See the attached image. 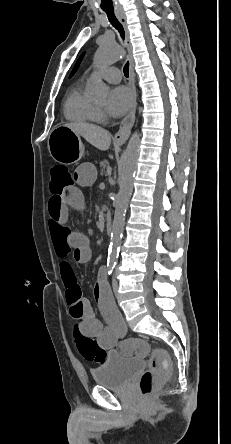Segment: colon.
Wrapping results in <instances>:
<instances>
[{"mask_svg":"<svg viewBox=\"0 0 231 444\" xmlns=\"http://www.w3.org/2000/svg\"><path fill=\"white\" fill-rule=\"evenodd\" d=\"M73 184L69 169L60 164L50 168L51 197L60 198ZM74 341L80 355L91 362L101 364L107 352L91 337L85 336L78 325L74 329ZM123 347L135 355L149 357V368L139 379V389L143 395H149L163 384L170 373V360L167 353L161 349H151L149 344L138 338H128Z\"/></svg>","mask_w":231,"mask_h":444,"instance_id":"1","label":"colon"}]
</instances>
